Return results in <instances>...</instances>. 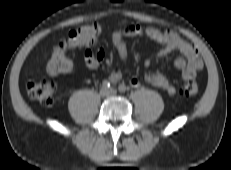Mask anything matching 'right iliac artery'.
Masks as SVG:
<instances>
[{
	"mask_svg": "<svg viewBox=\"0 0 231 170\" xmlns=\"http://www.w3.org/2000/svg\"><path fill=\"white\" fill-rule=\"evenodd\" d=\"M102 86L106 89L110 88L111 84L109 81L107 80H104L103 83H102Z\"/></svg>",
	"mask_w": 231,
	"mask_h": 170,
	"instance_id": "1",
	"label": "right iliac artery"
}]
</instances>
